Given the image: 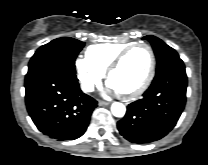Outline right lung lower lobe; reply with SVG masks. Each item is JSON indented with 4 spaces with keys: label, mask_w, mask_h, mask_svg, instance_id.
<instances>
[{
    "label": "right lung lower lobe",
    "mask_w": 208,
    "mask_h": 165,
    "mask_svg": "<svg viewBox=\"0 0 208 165\" xmlns=\"http://www.w3.org/2000/svg\"><path fill=\"white\" fill-rule=\"evenodd\" d=\"M24 86L28 113L43 134L63 141L85 133L97 101L80 90L74 73L44 67L26 76Z\"/></svg>",
    "instance_id": "obj_1"
}]
</instances>
